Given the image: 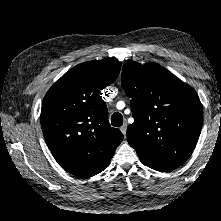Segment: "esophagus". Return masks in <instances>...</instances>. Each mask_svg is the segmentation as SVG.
<instances>
[{
    "label": "esophagus",
    "mask_w": 221,
    "mask_h": 221,
    "mask_svg": "<svg viewBox=\"0 0 221 221\" xmlns=\"http://www.w3.org/2000/svg\"><path fill=\"white\" fill-rule=\"evenodd\" d=\"M126 129H127V125L126 124H123L120 128L121 132L123 133V135L125 136L126 135Z\"/></svg>",
    "instance_id": "1"
}]
</instances>
